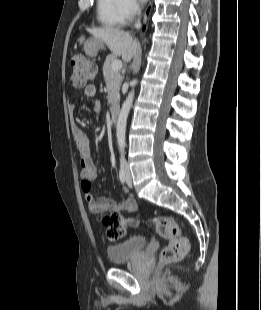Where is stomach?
I'll return each instance as SVG.
<instances>
[{"label": "stomach", "instance_id": "1", "mask_svg": "<svg viewBox=\"0 0 261 310\" xmlns=\"http://www.w3.org/2000/svg\"><path fill=\"white\" fill-rule=\"evenodd\" d=\"M83 49L88 57H95L100 49L104 48V43L94 37L82 40Z\"/></svg>", "mask_w": 261, "mask_h": 310}]
</instances>
